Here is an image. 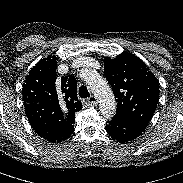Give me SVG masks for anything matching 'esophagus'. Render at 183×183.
Here are the masks:
<instances>
[{"label":"esophagus","mask_w":183,"mask_h":183,"mask_svg":"<svg viewBox=\"0 0 183 183\" xmlns=\"http://www.w3.org/2000/svg\"><path fill=\"white\" fill-rule=\"evenodd\" d=\"M97 104V98L95 96H91L83 100V105L85 106H93Z\"/></svg>","instance_id":"obj_1"}]
</instances>
